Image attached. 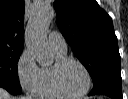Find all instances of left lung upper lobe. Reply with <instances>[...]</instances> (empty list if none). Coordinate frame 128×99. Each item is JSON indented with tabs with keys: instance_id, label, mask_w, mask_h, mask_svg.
Here are the masks:
<instances>
[{
	"instance_id": "obj_1",
	"label": "left lung upper lobe",
	"mask_w": 128,
	"mask_h": 99,
	"mask_svg": "<svg viewBox=\"0 0 128 99\" xmlns=\"http://www.w3.org/2000/svg\"><path fill=\"white\" fill-rule=\"evenodd\" d=\"M57 24L93 83L106 71H120V54L111 17L95 0H56Z\"/></svg>"
}]
</instances>
